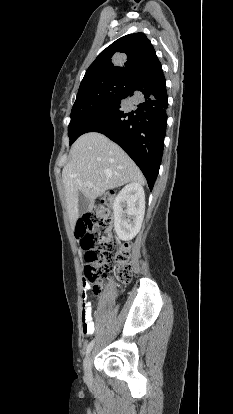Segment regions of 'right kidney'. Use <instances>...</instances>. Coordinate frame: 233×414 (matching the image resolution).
I'll use <instances>...</instances> for the list:
<instances>
[{
    "label": "right kidney",
    "mask_w": 233,
    "mask_h": 414,
    "mask_svg": "<svg viewBox=\"0 0 233 414\" xmlns=\"http://www.w3.org/2000/svg\"><path fill=\"white\" fill-rule=\"evenodd\" d=\"M113 211L117 236L123 241L131 240L140 231L145 213V194L141 184L132 182L126 185L115 198Z\"/></svg>",
    "instance_id": "right-kidney-1"
}]
</instances>
